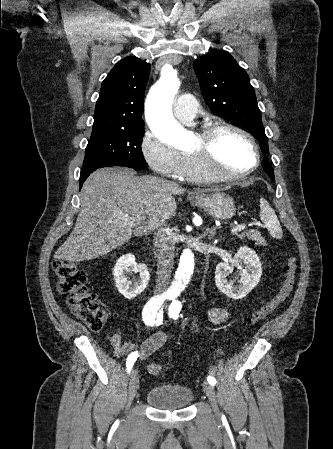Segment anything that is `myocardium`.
<instances>
[{
    "label": "myocardium",
    "mask_w": 333,
    "mask_h": 449,
    "mask_svg": "<svg viewBox=\"0 0 333 449\" xmlns=\"http://www.w3.org/2000/svg\"><path fill=\"white\" fill-rule=\"evenodd\" d=\"M223 131H231L241 135L252 146L255 153V162L249 169L236 174H222L214 170L211 165L212 146L216 136ZM200 140L199 147L192 151L190 155L195 159L203 175L210 181L234 182L247 178L259 166L261 153L254 137L246 130L230 123H210L206 124L198 133Z\"/></svg>",
    "instance_id": "myocardium-1"
}]
</instances>
